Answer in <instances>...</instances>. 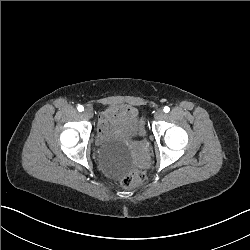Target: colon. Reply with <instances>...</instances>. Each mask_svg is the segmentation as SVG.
Instances as JSON below:
<instances>
[{
    "mask_svg": "<svg viewBox=\"0 0 250 250\" xmlns=\"http://www.w3.org/2000/svg\"><path fill=\"white\" fill-rule=\"evenodd\" d=\"M148 175L143 170H134L129 174L120 178L121 186L126 191H131L135 188L136 184L143 185L147 182Z\"/></svg>",
    "mask_w": 250,
    "mask_h": 250,
    "instance_id": "5ec220e1",
    "label": "colon"
}]
</instances>
